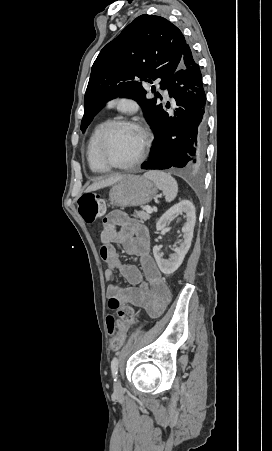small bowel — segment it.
I'll return each mask as SVG.
<instances>
[{
	"label": "small bowel",
	"mask_w": 272,
	"mask_h": 451,
	"mask_svg": "<svg viewBox=\"0 0 272 451\" xmlns=\"http://www.w3.org/2000/svg\"><path fill=\"white\" fill-rule=\"evenodd\" d=\"M100 241L99 254L106 264L105 279L112 281L119 273L129 284L109 285L107 295L111 300L143 308L152 316L162 313L171 301V293L151 255L146 226L120 211H112L104 217ZM116 244L121 245L125 253L138 257L139 265L124 263Z\"/></svg>",
	"instance_id": "small-bowel-1"
}]
</instances>
